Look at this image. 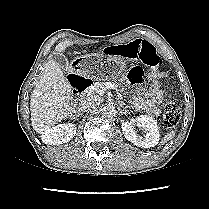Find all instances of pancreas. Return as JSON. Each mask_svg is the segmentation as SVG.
<instances>
[{
	"instance_id": "cf45deb5",
	"label": "pancreas",
	"mask_w": 209,
	"mask_h": 209,
	"mask_svg": "<svg viewBox=\"0 0 209 209\" xmlns=\"http://www.w3.org/2000/svg\"><path fill=\"white\" fill-rule=\"evenodd\" d=\"M103 83L105 82H95L92 87L90 88L89 92L91 94V96H96L97 94H99L97 92V90L103 85Z\"/></svg>"
}]
</instances>
